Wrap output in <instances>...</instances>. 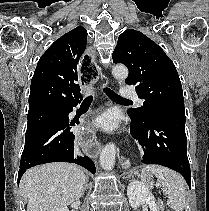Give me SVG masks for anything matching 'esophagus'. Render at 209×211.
I'll return each instance as SVG.
<instances>
[{
    "label": "esophagus",
    "instance_id": "esophagus-1",
    "mask_svg": "<svg viewBox=\"0 0 209 211\" xmlns=\"http://www.w3.org/2000/svg\"><path fill=\"white\" fill-rule=\"evenodd\" d=\"M94 61H96L95 52L81 56V64H78L81 87H91V82L96 81L97 70ZM93 138V128H80V133H75L74 144L77 145V149H87L88 156H95L96 149H102V144H95ZM121 162L124 164L126 161L123 159Z\"/></svg>",
    "mask_w": 209,
    "mask_h": 211
}]
</instances>
